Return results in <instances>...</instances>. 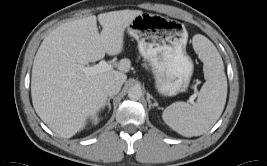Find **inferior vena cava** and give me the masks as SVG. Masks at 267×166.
Here are the masks:
<instances>
[{"label":"inferior vena cava","mask_w":267,"mask_h":166,"mask_svg":"<svg viewBox=\"0 0 267 166\" xmlns=\"http://www.w3.org/2000/svg\"><path fill=\"white\" fill-rule=\"evenodd\" d=\"M121 86H122V83L120 81L111 79V80L106 81L104 85V91L107 95L113 96L119 93Z\"/></svg>","instance_id":"obj_1"}]
</instances>
